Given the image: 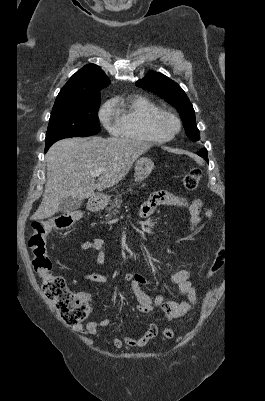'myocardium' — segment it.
Wrapping results in <instances>:
<instances>
[{"label":"myocardium","instance_id":"myocardium-1","mask_svg":"<svg viewBox=\"0 0 265 401\" xmlns=\"http://www.w3.org/2000/svg\"><path fill=\"white\" fill-rule=\"evenodd\" d=\"M161 119L171 120L176 126L174 132L169 137L160 138L156 134V126H157L158 121L161 120ZM148 127H149V131L154 135V140L156 142L163 143V142H168V141L174 139L180 133V131L182 129V121L174 113L166 111V110H160L159 109L158 111L154 112L149 117V119H148Z\"/></svg>","mask_w":265,"mask_h":401}]
</instances>
